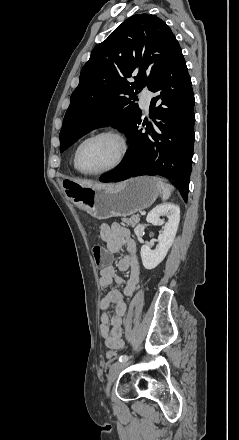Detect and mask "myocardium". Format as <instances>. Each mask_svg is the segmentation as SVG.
I'll return each mask as SVG.
<instances>
[{"label": "myocardium", "instance_id": "f54148a6", "mask_svg": "<svg viewBox=\"0 0 239 440\" xmlns=\"http://www.w3.org/2000/svg\"><path fill=\"white\" fill-rule=\"evenodd\" d=\"M102 136L113 137L118 142L119 148H120L118 158L115 161V163L112 166H110L109 168H106L104 170L97 171V172H86L80 166L81 149L88 141L95 139V138H98V137H102ZM128 149H129V146H128V142H127L126 137L118 130L111 129V128L97 130V131L87 135L77 146L75 156H74L75 167L81 174H83L85 176H90V177H97V176H102V175L112 173V172L116 171L124 163V161L127 157Z\"/></svg>", "mask_w": 239, "mask_h": 440}]
</instances>
